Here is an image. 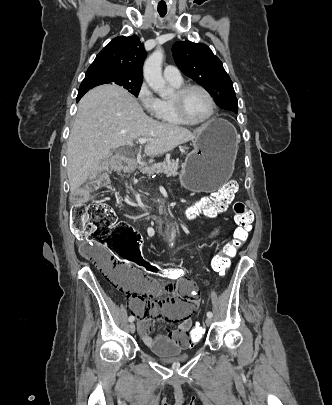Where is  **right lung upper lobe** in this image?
Masks as SVG:
<instances>
[{"label": "right lung upper lobe", "instance_id": "obj_1", "mask_svg": "<svg viewBox=\"0 0 332 405\" xmlns=\"http://www.w3.org/2000/svg\"><path fill=\"white\" fill-rule=\"evenodd\" d=\"M144 45L135 35L114 38L96 56L86 73L107 70L143 79Z\"/></svg>", "mask_w": 332, "mask_h": 405}]
</instances>
